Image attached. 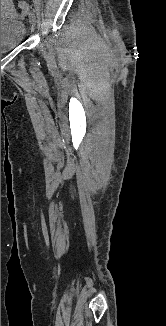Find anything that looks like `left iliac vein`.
<instances>
[{
  "label": "left iliac vein",
  "mask_w": 166,
  "mask_h": 326,
  "mask_svg": "<svg viewBox=\"0 0 166 326\" xmlns=\"http://www.w3.org/2000/svg\"><path fill=\"white\" fill-rule=\"evenodd\" d=\"M28 18H29V22L32 25V27H35V25H36V15L32 10L29 11Z\"/></svg>",
  "instance_id": "4c4485c4"
}]
</instances>
